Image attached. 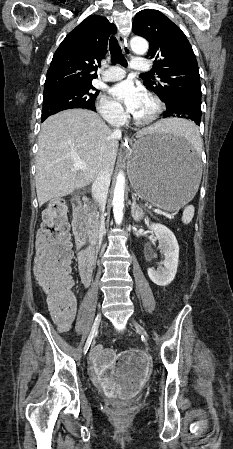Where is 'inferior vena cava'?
Instances as JSON below:
<instances>
[{"mask_svg": "<svg viewBox=\"0 0 233 449\" xmlns=\"http://www.w3.org/2000/svg\"><path fill=\"white\" fill-rule=\"evenodd\" d=\"M113 135L116 137H120L121 130L115 129L113 131ZM110 179H111L110 172L108 171V169L106 167H103L100 170V172L98 173V175L96 176V178L94 179L93 184H92V197H93L94 201L97 203L101 212L104 211V208L106 205L108 189L110 186ZM104 220H105L104 216H103V214H101L100 222L97 227L99 244H101L102 236H103L104 229H105Z\"/></svg>", "mask_w": 233, "mask_h": 449, "instance_id": "inferior-vena-cava-1", "label": "inferior vena cava"}]
</instances>
